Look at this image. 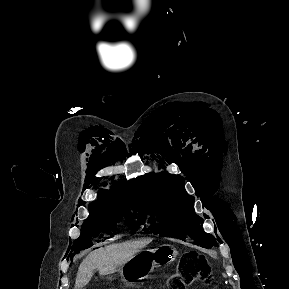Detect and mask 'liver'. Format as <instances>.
<instances>
[{
  "label": "liver",
  "instance_id": "6515ba94",
  "mask_svg": "<svg viewBox=\"0 0 289 289\" xmlns=\"http://www.w3.org/2000/svg\"><path fill=\"white\" fill-rule=\"evenodd\" d=\"M150 242L151 239L127 241L91 252L78 268L74 289H81L87 285L95 269L99 271L101 276L116 272L118 267L124 266Z\"/></svg>",
  "mask_w": 289,
  "mask_h": 289
}]
</instances>
